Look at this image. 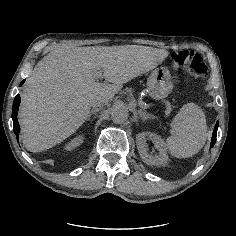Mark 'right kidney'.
<instances>
[{"label":"right kidney","instance_id":"obj_1","mask_svg":"<svg viewBox=\"0 0 236 236\" xmlns=\"http://www.w3.org/2000/svg\"><path fill=\"white\" fill-rule=\"evenodd\" d=\"M84 141L83 135H78L75 138H73L70 142L65 144L64 149L67 151H71L75 149L76 147L80 146Z\"/></svg>","mask_w":236,"mask_h":236}]
</instances>
